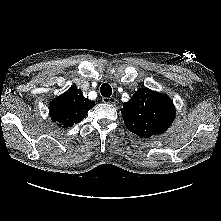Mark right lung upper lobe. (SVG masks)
Here are the masks:
<instances>
[{
    "mask_svg": "<svg viewBox=\"0 0 221 221\" xmlns=\"http://www.w3.org/2000/svg\"><path fill=\"white\" fill-rule=\"evenodd\" d=\"M94 106L95 102L85 98L81 90L70 87L50 103L49 114L53 122L66 128L82 121Z\"/></svg>",
    "mask_w": 221,
    "mask_h": 221,
    "instance_id": "cb5924a9",
    "label": "right lung upper lobe"
}]
</instances>
